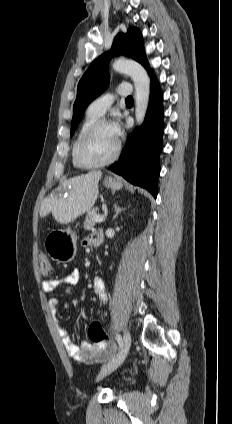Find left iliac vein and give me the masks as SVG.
<instances>
[{
	"mask_svg": "<svg viewBox=\"0 0 232 424\" xmlns=\"http://www.w3.org/2000/svg\"><path fill=\"white\" fill-rule=\"evenodd\" d=\"M131 345V335L126 330L123 335V345L117 356L103 367L99 374V378H103L116 370L125 360Z\"/></svg>",
	"mask_w": 232,
	"mask_h": 424,
	"instance_id": "obj_1",
	"label": "left iliac vein"
}]
</instances>
